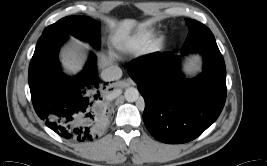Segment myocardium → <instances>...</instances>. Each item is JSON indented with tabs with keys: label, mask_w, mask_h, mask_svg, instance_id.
Here are the masks:
<instances>
[{
	"label": "myocardium",
	"mask_w": 267,
	"mask_h": 166,
	"mask_svg": "<svg viewBox=\"0 0 267 166\" xmlns=\"http://www.w3.org/2000/svg\"><path fill=\"white\" fill-rule=\"evenodd\" d=\"M165 44V37L163 35H159L150 41L148 44L145 53L147 54H155L162 50Z\"/></svg>",
	"instance_id": "obj_1"
}]
</instances>
